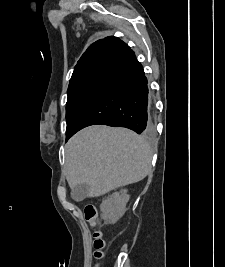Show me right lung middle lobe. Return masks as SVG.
Returning <instances> with one entry per match:
<instances>
[{
	"label": "right lung middle lobe",
	"mask_w": 225,
	"mask_h": 267,
	"mask_svg": "<svg viewBox=\"0 0 225 267\" xmlns=\"http://www.w3.org/2000/svg\"><path fill=\"white\" fill-rule=\"evenodd\" d=\"M101 76L102 75L87 77L69 85L67 91L68 99L66 104V141L69 139L73 131V124L79 109L91 90L100 80Z\"/></svg>",
	"instance_id": "1"
}]
</instances>
